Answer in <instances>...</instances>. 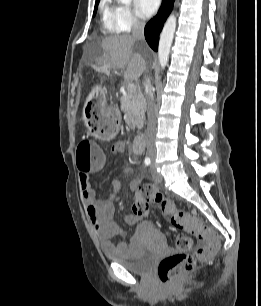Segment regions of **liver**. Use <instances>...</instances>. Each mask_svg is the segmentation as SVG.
I'll return each mask as SVG.
<instances>
[{
    "label": "liver",
    "mask_w": 261,
    "mask_h": 306,
    "mask_svg": "<svg viewBox=\"0 0 261 306\" xmlns=\"http://www.w3.org/2000/svg\"><path fill=\"white\" fill-rule=\"evenodd\" d=\"M135 42L130 35L105 37L100 42L104 55L99 63L107 68L123 69L126 82L138 79L146 70V61L133 50Z\"/></svg>",
    "instance_id": "1"
}]
</instances>
